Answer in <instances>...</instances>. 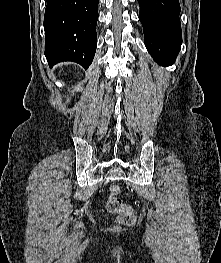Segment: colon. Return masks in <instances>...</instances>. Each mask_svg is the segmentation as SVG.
Wrapping results in <instances>:
<instances>
[{"label": "colon", "mask_w": 221, "mask_h": 263, "mask_svg": "<svg viewBox=\"0 0 221 263\" xmlns=\"http://www.w3.org/2000/svg\"><path fill=\"white\" fill-rule=\"evenodd\" d=\"M106 208L110 213L118 215L119 221L126 226H130L135 222V215L132 208L125 205L121 199V187L119 185H111L109 187V198Z\"/></svg>", "instance_id": "colon-1"}]
</instances>
